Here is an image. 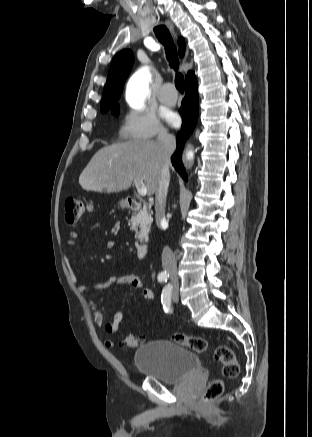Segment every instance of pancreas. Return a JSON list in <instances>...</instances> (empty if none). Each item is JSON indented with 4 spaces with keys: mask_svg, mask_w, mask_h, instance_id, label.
Listing matches in <instances>:
<instances>
[{
    "mask_svg": "<svg viewBox=\"0 0 312 437\" xmlns=\"http://www.w3.org/2000/svg\"><path fill=\"white\" fill-rule=\"evenodd\" d=\"M152 220L151 214L146 206H144L139 212L132 215L130 219V229L135 231V238H137L139 241L148 239V233L150 231Z\"/></svg>",
    "mask_w": 312,
    "mask_h": 437,
    "instance_id": "1",
    "label": "pancreas"
}]
</instances>
